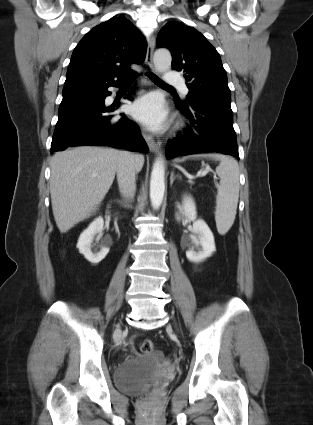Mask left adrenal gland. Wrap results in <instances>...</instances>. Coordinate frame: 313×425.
<instances>
[{"mask_svg": "<svg viewBox=\"0 0 313 425\" xmlns=\"http://www.w3.org/2000/svg\"><path fill=\"white\" fill-rule=\"evenodd\" d=\"M176 178H180V175H174V172L172 171L171 175H170V185L171 186H172V184H173V182Z\"/></svg>", "mask_w": 313, "mask_h": 425, "instance_id": "1", "label": "left adrenal gland"}]
</instances>
